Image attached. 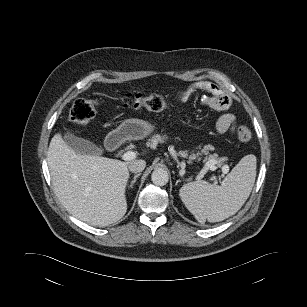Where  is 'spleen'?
I'll use <instances>...</instances> for the list:
<instances>
[{
    "mask_svg": "<svg viewBox=\"0 0 307 307\" xmlns=\"http://www.w3.org/2000/svg\"><path fill=\"white\" fill-rule=\"evenodd\" d=\"M256 157L244 156L221 185L195 181L183 185L179 196L200 223L220 222L234 215L244 205L254 186Z\"/></svg>",
    "mask_w": 307,
    "mask_h": 307,
    "instance_id": "1",
    "label": "spleen"
}]
</instances>
